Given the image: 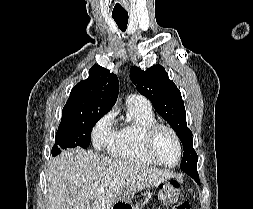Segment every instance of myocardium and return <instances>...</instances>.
<instances>
[{
  "label": "myocardium",
  "mask_w": 253,
  "mask_h": 209,
  "mask_svg": "<svg viewBox=\"0 0 253 209\" xmlns=\"http://www.w3.org/2000/svg\"><path fill=\"white\" fill-rule=\"evenodd\" d=\"M160 130H167L173 136L175 140L177 150H178V157H177L176 162H174L173 164H167L161 161L153 151L154 140H155L156 134ZM142 149L145 156L149 160L166 168H174L178 166L182 158V144L177 132L170 125H167L164 123L156 122V123L151 124L145 129L143 133V138H142Z\"/></svg>",
  "instance_id": "myocardium-1"
}]
</instances>
